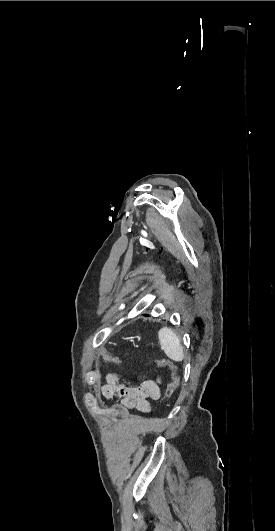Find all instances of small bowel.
Wrapping results in <instances>:
<instances>
[{
	"instance_id": "obj_1",
	"label": "small bowel",
	"mask_w": 275,
	"mask_h": 531,
	"mask_svg": "<svg viewBox=\"0 0 275 531\" xmlns=\"http://www.w3.org/2000/svg\"><path fill=\"white\" fill-rule=\"evenodd\" d=\"M161 376L155 378L143 377L137 380L136 385H127L123 382V375L119 372H110L106 376V383L101 387V394L106 399L116 396L121 398L120 404L126 410L136 409L141 413L151 410L150 401L161 397ZM124 390V395L118 394Z\"/></svg>"
}]
</instances>
